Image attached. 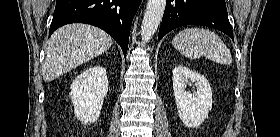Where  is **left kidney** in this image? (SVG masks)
<instances>
[{"instance_id":"left-kidney-1","label":"left kidney","mask_w":280,"mask_h":137,"mask_svg":"<svg viewBox=\"0 0 280 137\" xmlns=\"http://www.w3.org/2000/svg\"><path fill=\"white\" fill-rule=\"evenodd\" d=\"M173 91L179 117L188 128L200 126L212 109V89L200 73L178 65L172 75ZM187 84L193 89L186 90Z\"/></svg>"}]
</instances>
